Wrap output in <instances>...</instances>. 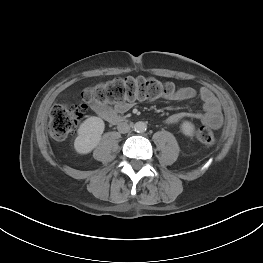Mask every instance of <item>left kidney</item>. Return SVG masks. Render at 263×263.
Instances as JSON below:
<instances>
[{
  "label": "left kidney",
  "mask_w": 263,
  "mask_h": 263,
  "mask_svg": "<svg viewBox=\"0 0 263 263\" xmlns=\"http://www.w3.org/2000/svg\"><path fill=\"white\" fill-rule=\"evenodd\" d=\"M194 125L191 122L184 121L181 124V130L186 136H192L194 133Z\"/></svg>",
  "instance_id": "1"
}]
</instances>
